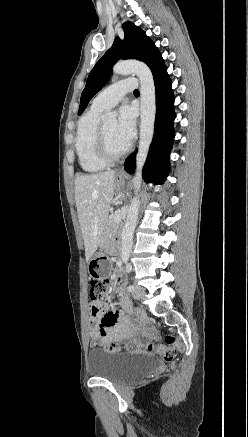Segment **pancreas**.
<instances>
[{
    "mask_svg": "<svg viewBox=\"0 0 248 437\" xmlns=\"http://www.w3.org/2000/svg\"><path fill=\"white\" fill-rule=\"evenodd\" d=\"M119 228V223L115 221V216H111L106 222L107 234L114 235Z\"/></svg>",
    "mask_w": 248,
    "mask_h": 437,
    "instance_id": "obj_1",
    "label": "pancreas"
}]
</instances>
